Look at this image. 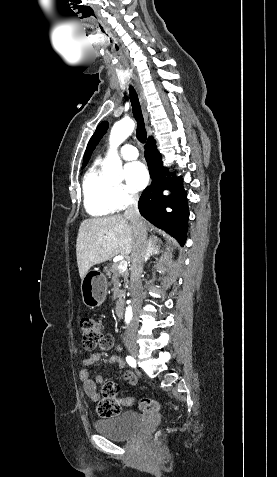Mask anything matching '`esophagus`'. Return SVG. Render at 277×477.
Wrapping results in <instances>:
<instances>
[{
    "label": "esophagus",
    "instance_id": "obj_1",
    "mask_svg": "<svg viewBox=\"0 0 277 477\" xmlns=\"http://www.w3.org/2000/svg\"><path fill=\"white\" fill-rule=\"evenodd\" d=\"M133 79H134V82H135V86H136V89H137V92H138V96H139V101H140V105H141V109H142V113H143V117H144V120H145V123L146 125H148L149 123V115H148V112H147V101H146V97H145V94H144V91H143V88H142V85L138 79V77L133 74Z\"/></svg>",
    "mask_w": 277,
    "mask_h": 477
}]
</instances>
